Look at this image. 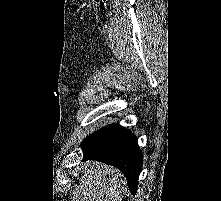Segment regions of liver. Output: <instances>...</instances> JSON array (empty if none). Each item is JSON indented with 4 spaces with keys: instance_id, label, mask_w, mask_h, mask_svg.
<instances>
[{
    "instance_id": "1",
    "label": "liver",
    "mask_w": 221,
    "mask_h": 201,
    "mask_svg": "<svg viewBox=\"0 0 221 201\" xmlns=\"http://www.w3.org/2000/svg\"><path fill=\"white\" fill-rule=\"evenodd\" d=\"M79 185L74 186L71 201H121L124 175L115 167L97 161H86Z\"/></svg>"
}]
</instances>
